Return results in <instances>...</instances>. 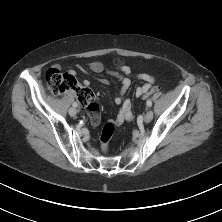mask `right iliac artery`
<instances>
[{"mask_svg": "<svg viewBox=\"0 0 222 222\" xmlns=\"http://www.w3.org/2000/svg\"><path fill=\"white\" fill-rule=\"evenodd\" d=\"M78 104L76 102L73 103V107H77Z\"/></svg>", "mask_w": 222, "mask_h": 222, "instance_id": "1", "label": "right iliac artery"}]
</instances>
